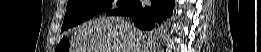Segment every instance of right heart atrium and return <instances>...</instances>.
<instances>
[{"mask_svg": "<svg viewBox=\"0 0 261 52\" xmlns=\"http://www.w3.org/2000/svg\"><path fill=\"white\" fill-rule=\"evenodd\" d=\"M119 6H120V3L116 2V1H114L110 4L111 9H117V8H119Z\"/></svg>", "mask_w": 261, "mask_h": 52, "instance_id": "1", "label": "right heart atrium"}]
</instances>
